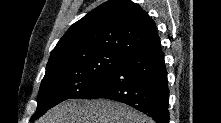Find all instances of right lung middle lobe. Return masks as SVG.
<instances>
[{"instance_id":"right-lung-middle-lobe-1","label":"right lung middle lobe","mask_w":221,"mask_h":123,"mask_svg":"<svg viewBox=\"0 0 221 123\" xmlns=\"http://www.w3.org/2000/svg\"><path fill=\"white\" fill-rule=\"evenodd\" d=\"M127 56L111 49L96 48L49 60L39 89L38 107L31 121L64 100L86 99L92 95L98 82Z\"/></svg>"}]
</instances>
